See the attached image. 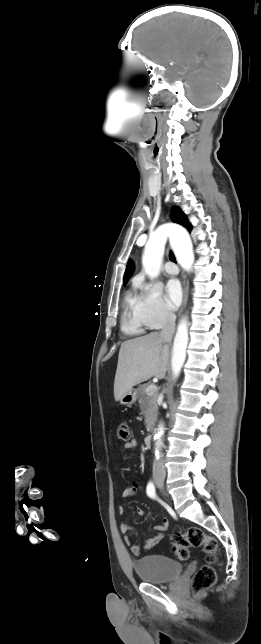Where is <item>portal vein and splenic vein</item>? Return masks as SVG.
Instances as JSON below:
<instances>
[{"label":"portal vein and splenic vein","mask_w":261,"mask_h":644,"mask_svg":"<svg viewBox=\"0 0 261 644\" xmlns=\"http://www.w3.org/2000/svg\"><path fill=\"white\" fill-rule=\"evenodd\" d=\"M156 390H157L156 385L151 384V385H149V386L147 387L146 392H147V394H148V395H151V394H153V392H154V391H156Z\"/></svg>","instance_id":"1"}]
</instances>
